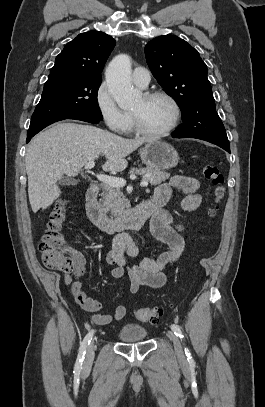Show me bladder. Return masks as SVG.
I'll use <instances>...</instances> for the list:
<instances>
[{
	"instance_id": "1",
	"label": "bladder",
	"mask_w": 265,
	"mask_h": 407,
	"mask_svg": "<svg viewBox=\"0 0 265 407\" xmlns=\"http://www.w3.org/2000/svg\"><path fill=\"white\" fill-rule=\"evenodd\" d=\"M148 331L137 324H125L119 331L118 337L124 343L140 342L147 338Z\"/></svg>"
}]
</instances>
